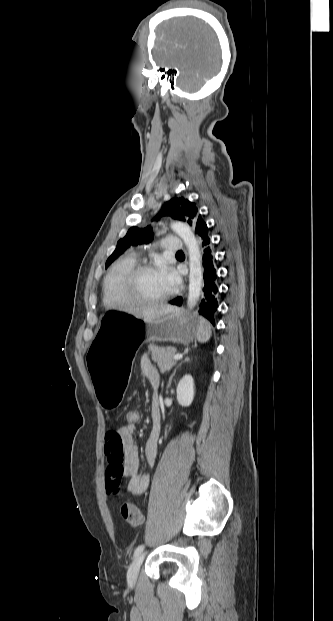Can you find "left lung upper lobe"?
<instances>
[{
  "label": "left lung upper lobe",
  "mask_w": 333,
  "mask_h": 621,
  "mask_svg": "<svg viewBox=\"0 0 333 621\" xmlns=\"http://www.w3.org/2000/svg\"><path fill=\"white\" fill-rule=\"evenodd\" d=\"M162 216H171L187 222L196 229L201 228L204 220L198 215V208L195 203L190 202L184 197H175L166 202L161 211L153 220H159ZM153 233L150 226L145 228L131 227L124 238L117 242V247L112 255L107 259L105 268H107L116 258H118L127 248L141 243H148L152 240Z\"/></svg>",
  "instance_id": "1"
}]
</instances>
